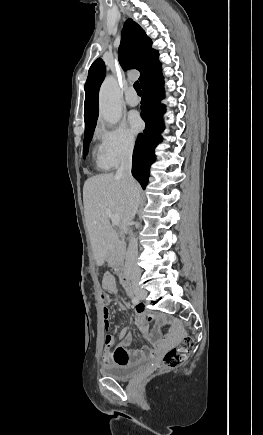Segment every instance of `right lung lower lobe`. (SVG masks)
Wrapping results in <instances>:
<instances>
[{"mask_svg":"<svg viewBox=\"0 0 263 435\" xmlns=\"http://www.w3.org/2000/svg\"><path fill=\"white\" fill-rule=\"evenodd\" d=\"M163 85L164 77L161 70L141 86L143 91L141 117L146 126L136 141L132 159V175L143 188L148 183L150 165L155 160L154 149L161 141L159 133L164 129L161 116L165 113V106L160 104V100L165 96Z\"/></svg>","mask_w":263,"mask_h":435,"instance_id":"obj_1","label":"right lung lower lobe"}]
</instances>
